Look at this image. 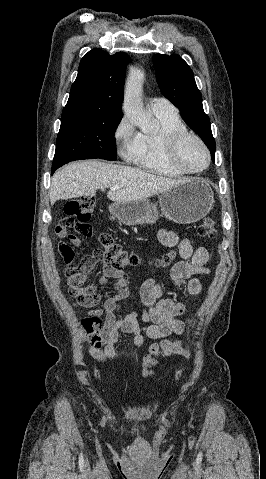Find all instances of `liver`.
I'll return each instance as SVG.
<instances>
[{"label": "liver", "instance_id": "obj_1", "mask_svg": "<svg viewBox=\"0 0 266 479\" xmlns=\"http://www.w3.org/2000/svg\"><path fill=\"white\" fill-rule=\"evenodd\" d=\"M185 180L170 179L137 168L98 160L76 161L58 170L52 177L50 203L82 196H95L98 189L110 188L107 197L114 202L147 199ZM112 187H118L112 190Z\"/></svg>", "mask_w": 266, "mask_h": 479}]
</instances>
